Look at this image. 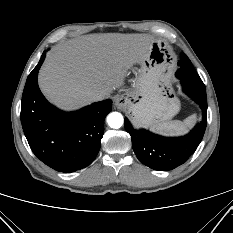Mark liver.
<instances>
[{
	"instance_id": "6515ba94",
	"label": "liver",
	"mask_w": 233,
	"mask_h": 233,
	"mask_svg": "<svg viewBox=\"0 0 233 233\" xmlns=\"http://www.w3.org/2000/svg\"><path fill=\"white\" fill-rule=\"evenodd\" d=\"M155 39L148 34H89L51 50L38 75L44 96L63 110L93 102L98 91L109 96L124 85L127 70L148 56Z\"/></svg>"
}]
</instances>
